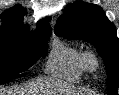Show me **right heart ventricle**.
Returning <instances> with one entry per match:
<instances>
[{
  "instance_id": "right-heart-ventricle-1",
  "label": "right heart ventricle",
  "mask_w": 119,
  "mask_h": 95,
  "mask_svg": "<svg viewBox=\"0 0 119 95\" xmlns=\"http://www.w3.org/2000/svg\"><path fill=\"white\" fill-rule=\"evenodd\" d=\"M85 71L83 51L76 45L57 40L49 54L46 72L54 77L77 81Z\"/></svg>"
}]
</instances>
